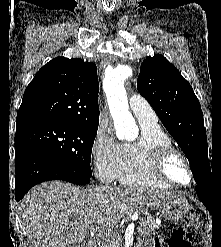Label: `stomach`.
I'll return each mask as SVG.
<instances>
[{
	"label": "stomach",
	"mask_w": 221,
	"mask_h": 247,
	"mask_svg": "<svg viewBox=\"0 0 221 247\" xmlns=\"http://www.w3.org/2000/svg\"><path fill=\"white\" fill-rule=\"evenodd\" d=\"M189 209L190 205L187 200L179 196L168 198L158 204L159 215L172 222L181 220Z\"/></svg>",
	"instance_id": "1"
}]
</instances>
